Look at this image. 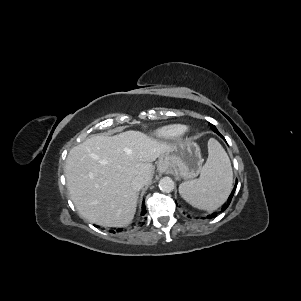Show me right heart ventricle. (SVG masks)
Segmentation results:
<instances>
[{"instance_id": "right-heart-ventricle-1", "label": "right heart ventricle", "mask_w": 301, "mask_h": 301, "mask_svg": "<svg viewBox=\"0 0 301 301\" xmlns=\"http://www.w3.org/2000/svg\"><path fill=\"white\" fill-rule=\"evenodd\" d=\"M187 130V127L182 124H171L163 126L154 132V135L163 140H177L181 138Z\"/></svg>"}]
</instances>
